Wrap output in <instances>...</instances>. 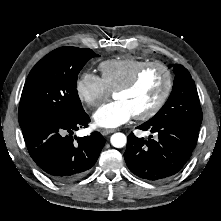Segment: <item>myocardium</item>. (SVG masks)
I'll list each match as a JSON object with an SVG mask.
<instances>
[{"instance_id":"f54148a6","label":"myocardium","mask_w":221,"mask_h":221,"mask_svg":"<svg viewBox=\"0 0 221 221\" xmlns=\"http://www.w3.org/2000/svg\"><path fill=\"white\" fill-rule=\"evenodd\" d=\"M152 67H158L162 70L165 76V86L164 89L158 98V100L154 103V105L146 110L145 112L135 114L134 118L137 120H147L155 116L166 104L167 100L169 99L171 92L173 90V75L170 70V68L163 62L160 61H148L141 65L131 76L128 78L125 82H123L121 85L116 87L113 90V94L115 95L118 92H123L131 89L134 87L141 76L150 68Z\"/></svg>"}]
</instances>
